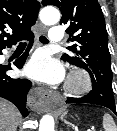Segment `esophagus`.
Wrapping results in <instances>:
<instances>
[{
    "mask_svg": "<svg viewBox=\"0 0 117 131\" xmlns=\"http://www.w3.org/2000/svg\"><path fill=\"white\" fill-rule=\"evenodd\" d=\"M46 31L45 26L39 24L38 34L44 33ZM53 93L44 88H34L29 96V105L32 110L43 113L50 110V103Z\"/></svg>",
    "mask_w": 117,
    "mask_h": 131,
    "instance_id": "obj_1",
    "label": "esophagus"
}]
</instances>
